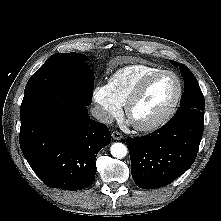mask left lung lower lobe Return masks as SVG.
<instances>
[{"mask_svg":"<svg viewBox=\"0 0 221 221\" xmlns=\"http://www.w3.org/2000/svg\"><path fill=\"white\" fill-rule=\"evenodd\" d=\"M204 129V111L179 109L153 133L128 138L131 172L143 189L165 186L183 174L195 161Z\"/></svg>","mask_w":221,"mask_h":221,"instance_id":"left-lung-lower-lobe-1","label":"left lung lower lobe"}]
</instances>
